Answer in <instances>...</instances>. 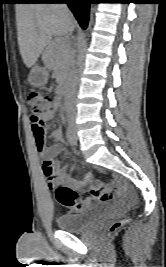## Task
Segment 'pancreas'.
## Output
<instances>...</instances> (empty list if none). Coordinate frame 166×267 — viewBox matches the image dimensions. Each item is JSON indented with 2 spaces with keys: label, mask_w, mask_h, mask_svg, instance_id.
Instances as JSON below:
<instances>
[{
  "label": "pancreas",
  "mask_w": 166,
  "mask_h": 267,
  "mask_svg": "<svg viewBox=\"0 0 166 267\" xmlns=\"http://www.w3.org/2000/svg\"><path fill=\"white\" fill-rule=\"evenodd\" d=\"M70 46L62 40H55L43 53V60L48 68L54 71L55 77L63 81L69 71Z\"/></svg>",
  "instance_id": "pancreas-1"
}]
</instances>
